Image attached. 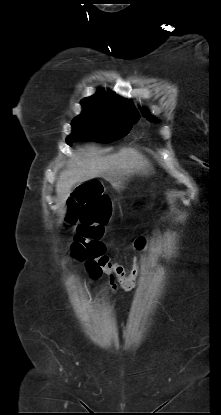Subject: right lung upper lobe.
<instances>
[{"instance_id":"1","label":"right lung upper lobe","mask_w":221,"mask_h":415,"mask_svg":"<svg viewBox=\"0 0 221 415\" xmlns=\"http://www.w3.org/2000/svg\"><path fill=\"white\" fill-rule=\"evenodd\" d=\"M81 104L98 108L127 110L138 114L130 100H125L111 91L105 93L101 89L96 94L83 99Z\"/></svg>"}]
</instances>
